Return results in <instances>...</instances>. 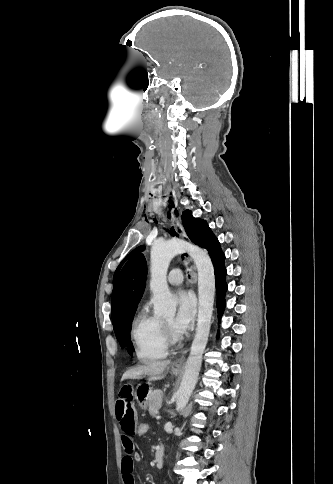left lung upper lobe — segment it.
Instances as JSON below:
<instances>
[{"label":"left lung upper lobe","instance_id":"1","mask_svg":"<svg viewBox=\"0 0 333 484\" xmlns=\"http://www.w3.org/2000/svg\"><path fill=\"white\" fill-rule=\"evenodd\" d=\"M182 222H183V226H184L185 231H186L188 237L190 238V240L193 243H195L196 245L200 246L201 242H202L203 235L205 233V229L208 226L206 224V222L204 220L199 219V218H194L192 216V212L190 210H185L182 213ZM144 248H145L144 246H139L124 258V260L120 263V265L118 266V268L115 271L113 282L116 281L122 264L129 257L135 255L138 252L143 251Z\"/></svg>","mask_w":333,"mask_h":484}]
</instances>
